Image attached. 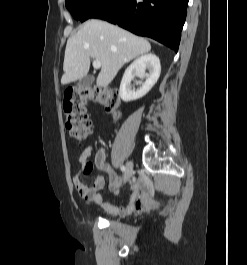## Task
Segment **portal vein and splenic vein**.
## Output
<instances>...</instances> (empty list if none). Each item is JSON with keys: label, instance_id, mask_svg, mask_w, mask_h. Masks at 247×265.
<instances>
[{"label": "portal vein and splenic vein", "instance_id": "1", "mask_svg": "<svg viewBox=\"0 0 247 265\" xmlns=\"http://www.w3.org/2000/svg\"><path fill=\"white\" fill-rule=\"evenodd\" d=\"M93 67L99 69L101 67V62L97 60L93 61Z\"/></svg>", "mask_w": 247, "mask_h": 265}]
</instances>
